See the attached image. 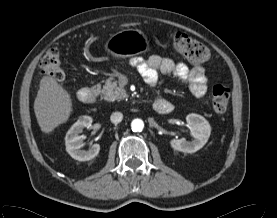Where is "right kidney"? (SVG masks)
I'll list each match as a JSON object with an SVG mask.
<instances>
[{
    "mask_svg": "<svg viewBox=\"0 0 277 218\" xmlns=\"http://www.w3.org/2000/svg\"><path fill=\"white\" fill-rule=\"evenodd\" d=\"M92 117L80 116L79 119L71 126L65 136V146L68 154L78 161H89L96 157L100 151V145L94 144L89 150H81L84 145V135H80L84 127H90Z\"/></svg>",
    "mask_w": 277,
    "mask_h": 218,
    "instance_id": "ca27d5eb",
    "label": "right kidney"
}]
</instances>
